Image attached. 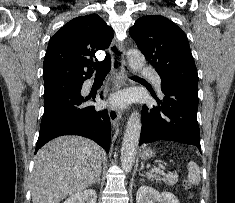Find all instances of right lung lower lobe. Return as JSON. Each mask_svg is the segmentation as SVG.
<instances>
[{
  "instance_id": "1",
  "label": "right lung lower lobe",
  "mask_w": 235,
  "mask_h": 203,
  "mask_svg": "<svg viewBox=\"0 0 235 203\" xmlns=\"http://www.w3.org/2000/svg\"><path fill=\"white\" fill-rule=\"evenodd\" d=\"M80 86L44 101V114L35 153L48 141L62 135H79L92 139L106 152L110 148V117L107 110L85 106ZM102 98V96H101Z\"/></svg>"
}]
</instances>
